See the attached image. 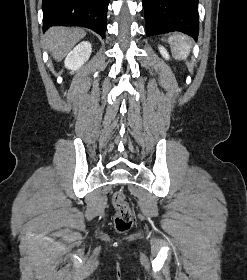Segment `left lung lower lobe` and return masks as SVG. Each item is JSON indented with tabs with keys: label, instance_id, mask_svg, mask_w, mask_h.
Masks as SVG:
<instances>
[{
	"label": "left lung lower lobe",
	"instance_id": "0a47b994",
	"mask_svg": "<svg viewBox=\"0 0 247 280\" xmlns=\"http://www.w3.org/2000/svg\"><path fill=\"white\" fill-rule=\"evenodd\" d=\"M147 36L181 31L197 40L198 0H142Z\"/></svg>",
	"mask_w": 247,
	"mask_h": 280
}]
</instances>
